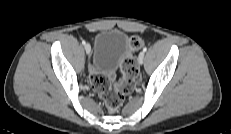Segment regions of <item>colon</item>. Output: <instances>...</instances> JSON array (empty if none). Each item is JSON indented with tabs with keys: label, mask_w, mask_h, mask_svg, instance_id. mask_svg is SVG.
<instances>
[{
	"label": "colon",
	"mask_w": 231,
	"mask_h": 134,
	"mask_svg": "<svg viewBox=\"0 0 231 134\" xmlns=\"http://www.w3.org/2000/svg\"><path fill=\"white\" fill-rule=\"evenodd\" d=\"M142 45L143 40L139 36L129 37L130 52L122 59L121 70L123 77L120 81H117L115 77H106L95 70H90V84L111 112H115L120 108L125 97L130 94L135 87L139 69L132 53L140 49Z\"/></svg>",
	"instance_id": "5ec220e1"
}]
</instances>
